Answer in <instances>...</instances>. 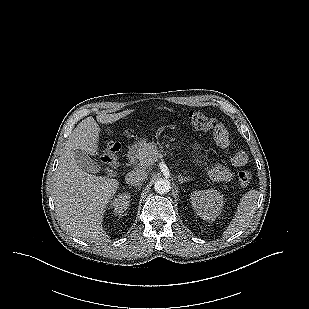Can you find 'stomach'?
I'll return each mask as SVG.
<instances>
[{
	"label": "stomach",
	"instance_id": "1",
	"mask_svg": "<svg viewBox=\"0 0 309 309\" xmlns=\"http://www.w3.org/2000/svg\"><path fill=\"white\" fill-rule=\"evenodd\" d=\"M146 142H147V139H146V138L141 139V140L139 141V143H137V144L135 145V148H136L137 150H140V149L142 148V146H143Z\"/></svg>",
	"mask_w": 309,
	"mask_h": 309
}]
</instances>
